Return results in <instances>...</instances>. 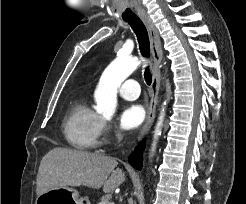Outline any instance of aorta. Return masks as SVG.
I'll list each match as a JSON object with an SVG mask.
<instances>
[{"label": "aorta", "mask_w": 246, "mask_h": 204, "mask_svg": "<svg viewBox=\"0 0 246 204\" xmlns=\"http://www.w3.org/2000/svg\"><path fill=\"white\" fill-rule=\"evenodd\" d=\"M139 65L140 61L137 58L121 55L105 69L95 91L96 111L99 114L106 118H111L114 115L117 108L118 87ZM164 111L162 108L154 131L152 151L155 149L158 136L161 135Z\"/></svg>", "instance_id": "aorta-1"}]
</instances>
